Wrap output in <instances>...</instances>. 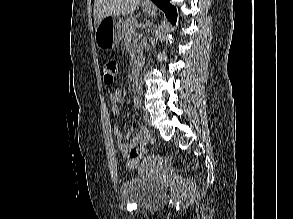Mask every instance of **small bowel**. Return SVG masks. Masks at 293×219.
Wrapping results in <instances>:
<instances>
[{
    "label": "small bowel",
    "mask_w": 293,
    "mask_h": 219,
    "mask_svg": "<svg viewBox=\"0 0 293 219\" xmlns=\"http://www.w3.org/2000/svg\"><path fill=\"white\" fill-rule=\"evenodd\" d=\"M121 99H122V94H121V91L118 89L114 90L110 94V101L112 104V112L116 117H118L120 114ZM145 131H146V129L142 128L139 132H137L132 137V139L130 141H124L121 128L118 125L114 126L113 133H114V137L117 141V146H118V149L120 150V152L123 155H127L132 148L140 145L142 142Z\"/></svg>",
    "instance_id": "obj_1"
}]
</instances>
